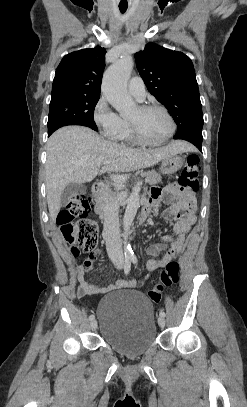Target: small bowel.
I'll list each match as a JSON object with an SVG mask.
<instances>
[{"mask_svg": "<svg viewBox=\"0 0 247 407\" xmlns=\"http://www.w3.org/2000/svg\"><path fill=\"white\" fill-rule=\"evenodd\" d=\"M162 200L171 201L170 207L165 210L163 214L166 219L174 220L175 225L173 235L164 236L160 243L149 248L148 252L152 256H158L163 252V255L160 258L153 259L148 263V269L150 272L157 268L165 267L169 262L175 260L179 256L184 248L187 234L196 220L193 197L191 194L180 190L176 184H171L164 189L154 188L151 191L148 199L151 205ZM181 211L185 212L184 216L180 215ZM97 256L98 252L90 254L77 266L76 275L79 281L77 295L79 297L87 294L106 293L121 287H134L142 283V281L135 279H120L115 283L104 286L96 284L92 280H86L85 272H89L93 269V263Z\"/></svg>", "mask_w": 247, "mask_h": 407, "instance_id": "1", "label": "small bowel"}]
</instances>
